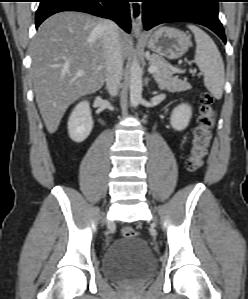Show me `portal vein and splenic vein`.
Returning <instances> with one entry per match:
<instances>
[{
    "label": "portal vein and splenic vein",
    "instance_id": "obj_1",
    "mask_svg": "<svg viewBox=\"0 0 248 299\" xmlns=\"http://www.w3.org/2000/svg\"><path fill=\"white\" fill-rule=\"evenodd\" d=\"M157 71H158V69H157L155 66H150V67H149V72H150V73L153 74V73H155V72H157ZM183 72H184V71H183ZM79 75H82V72H80Z\"/></svg>",
    "mask_w": 248,
    "mask_h": 299
}]
</instances>
